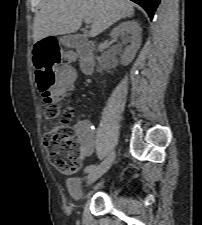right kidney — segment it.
Segmentation results:
<instances>
[{"mask_svg": "<svg viewBox=\"0 0 202 225\" xmlns=\"http://www.w3.org/2000/svg\"><path fill=\"white\" fill-rule=\"evenodd\" d=\"M142 29L137 21H125L116 26L110 33V36L116 40L118 37L122 40L125 47L124 55L121 57L123 65H128L135 57L137 50L141 45Z\"/></svg>", "mask_w": 202, "mask_h": 225, "instance_id": "obj_1", "label": "right kidney"}]
</instances>
